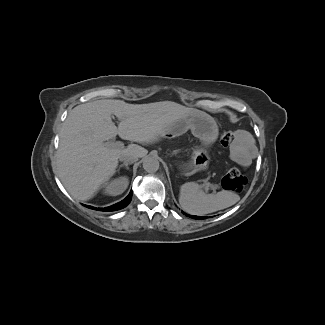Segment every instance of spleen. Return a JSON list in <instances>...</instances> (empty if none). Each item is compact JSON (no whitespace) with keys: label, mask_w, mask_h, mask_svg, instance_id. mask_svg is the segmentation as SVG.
<instances>
[{"label":"spleen","mask_w":325,"mask_h":325,"mask_svg":"<svg viewBox=\"0 0 325 325\" xmlns=\"http://www.w3.org/2000/svg\"><path fill=\"white\" fill-rule=\"evenodd\" d=\"M179 203L187 213L200 216L227 208L234 204L233 201L227 198L226 192L206 194L194 182H188L181 186Z\"/></svg>","instance_id":"spleen-1"}]
</instances>
